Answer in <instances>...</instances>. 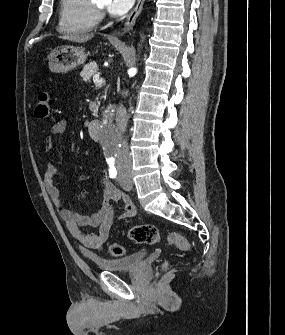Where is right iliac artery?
Returning <instances> with one entry per match:
<instances>
[{"label": "right iliac artery", "mask_w": 285, "mask_h": 335, "mask_svg": "<svg viewBox=\"0 0 285 335\" xmlns=\"http://www.w3.org/2000/svg\"><path fill=\"white\" fill-rule=\"evenodd\" d=\"M116 175H117L116 168L114 166V163L111 162V163H109V176H110V178H115Z\"/></svg>", "instance_id": "82829eb1"}]
</instances>
